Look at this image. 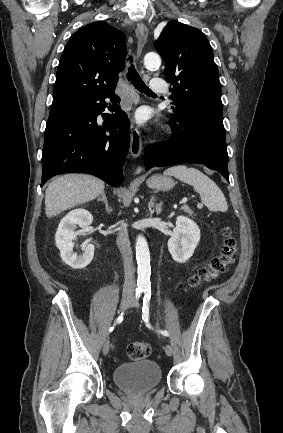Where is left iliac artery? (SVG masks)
I'll list each match as a JSON object with an SVG mask.
<instances>
[{
	"instance_id": "obj_1",
	"label": "left iliac artery",
	"mask_w": 283,
	"mask_h": 433,
	"mask_svg": "<svg viewBox=\"0 0 283 433\" xmlns=\"http://www.w3.org/2000/svg\"><path fill=\"white\" fill-rule=\"evenodd\" d=\"M144 298H143V307H142V319L146 323L148 327L149 326V308H150V298H151V288L145 287L144 289ZM159 333H161L164 336H169L168 331L166 330H157Z\"/></svg>"
}]
</instances>
